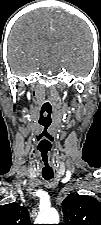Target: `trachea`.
Here are the masks:
<instances>
[{
  "label": "trachea",
  "mask_w": 101,
  "mask_h": 225,
  "mask_svg": "<svg viewBox=\"0 0 101 225\" xmlns=\"http://www.w3.org/2000/svg\"><path fill=\"white\" fill-rule=\"evenodd\" d=\"M43 178L45 179V180H50V179H52L53 178V175H51V176H43Z\"/></svg>",
  "instance_id": "obj_1"
}]
</instances>
